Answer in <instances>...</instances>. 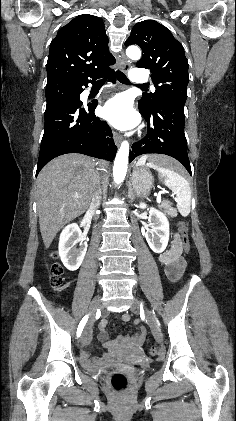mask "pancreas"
Instances as JSON below:
<instances>
[{
  "instance_id": "1",
  "label": "pancreas",
  "mask_w": 236,
  "mask_h": 421,
  "mask_svg": "<svg viewBox=\"0 0 236 421\" xmlns=\"http://www.w3.org/2000/svg\"><path fill=\"white\" fill-rule=\"evenodd\" d=\"M172 204L173 202L166 200V202H161L159 208H161V211H164V213H167V215H171V217H177L176 208H173Z\"/></svg>"
}]
</instances>
